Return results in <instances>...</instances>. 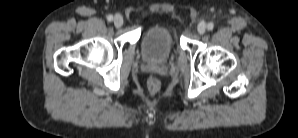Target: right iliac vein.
<instances>
[{
	"label": "right iliac vein",
	"mask_w": 298,
	"mask_h": 138,
	"mask_svg": "<svg viewBox=\"0 0 298 138\" xmlns=\"http://www.w3.org/2000/svg\"><path fill=\"white\" fill-rule=\"evenodd\" d=\"M113 22L115 27L120 28L123 25V17L121 15H116Z\"/></svg>",
	"instance_id": "obj_1"
}]
</instances>
